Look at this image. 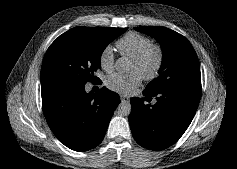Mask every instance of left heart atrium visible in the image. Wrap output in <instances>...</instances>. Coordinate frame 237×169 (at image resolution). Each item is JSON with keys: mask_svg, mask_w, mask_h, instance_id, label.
<instances>
[{"mask_svg": "<svg viewBox=\"0 0 237 169\" xmlns=\"http://www.w3.org/2000/svg\"><path fill=\"white\" fill-rule=\"evenodd\" d=\"M140 83L141 75L136 71L128 74L114 73L106 80V84L111 90L123 94L131 93Z\"/></svg>", "mask_w": 237, "mask_h": 169, "instance_id": "39dd6f15", "label": "left heart atrium"}]
</instances>
